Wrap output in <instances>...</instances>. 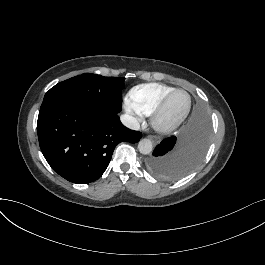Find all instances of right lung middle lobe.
<instances>
[{
  "mask_svg": "<svg viewBox=\"0 0 265 265\" xmlns=\"http://www.w3.org/2000/svg\"><path fill=\"white\" fill-rule=\"evenodd\" d=\"M122 77L82 74L56 84L46 94L41 109L60 100H72L110 114L119 113L122 103Z\"/></svg>",
  "mask_w": 265,
  "mask_h": 265,
  "instance_id": "1",
  "label": "right lung middle lobe"
}]
</instances>
